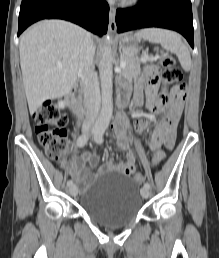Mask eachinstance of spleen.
<instances>
[{
	"label": "spleen",
	"mask_w": 219,
	"mask_h": 258,
	"mask_svg": "<svg viewBox=\"0 0 219 258\" xmlns=\"http://www.w3.org/2000/svg\"><path fill=\"white\" fill-rule=\"evenodd\" d=\"M135 37L138 40L144 39L160 44L164 49L177 55L184 70H190V52L183 43L181 36L176 32L160 28H146L136 32Z\"/></svg>",
	"instance_id": "3e777b00"
}]
</instances>
